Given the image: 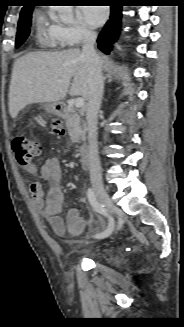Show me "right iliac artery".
I'll return each mask as SVG.
<instances>
[{
    "label": "right iliac artery",
    "instance_id": "82829eb1",
    "mask_svg": "<svg viewBox=\"0 0 184 327\" xmlns=\"http://www.w3.org/2000/svg\"><path fill=\"white\" fill-rule=\"evenodd\" d=\"M87 198H88V201H89L90 205L93 207V209L96 212H98L99 214H102V215H104V216H106L108 218V226H107L106 230L103 231L102 233L96 234L95 237L98 238V239L108 237L112 233V231L114 230V220H113V218H111L108 215L107 210L105 209L104 205H102L98 201V199L96 198V195H95L92 188H88Z\"/></svg>",
    "mask_w": 184,
    "mask_h": 327
}]
</instances>
